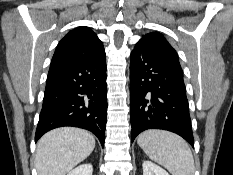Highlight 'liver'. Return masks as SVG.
<instances>
[{"instance_id": "liver-1", "label": "liver", "mask_w": 233, "mask_h": 175, "mask_svg": "<svg viewBox=\"0 0 233 175\" xmlns=\"http://www.w3.org/2000/svg\"><path fill=\"white\" fill-rule=\"evenodd\" d=\"M95 148V139L88 131L75 127L53 129L37 143L38 175H66L85 160Z\"/></svg>"}]
</instances>
